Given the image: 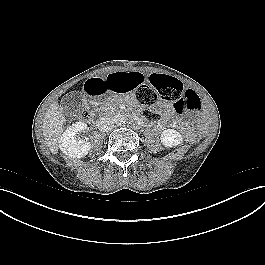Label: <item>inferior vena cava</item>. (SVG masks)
Here are the masks:
<instances>
[{
    "instance_id": "1",
    "label": "inferior vena cava",
    "mask_w": 265,
    "mask_h": 265,
    "mask_svg": "<svg viewBox=\"0 0 265 265\" xmlns=\"http://www.w3.org/2000/svg\"><path fill=\"white\" fill-rule=\"evenodd\" d=\"M114 127V121L110 116H103L98 120V128L102 132L111 131Z\"/></svg>"
}]
</instances>
